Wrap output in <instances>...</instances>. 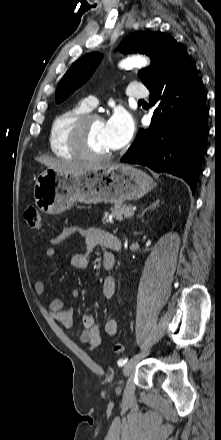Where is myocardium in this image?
<instances>
[{
    "label": "myocardium",
    "mask_w": 221,
    "mask_h": 440,
    "mask_svg": "<svg viewBox=\"0 0 221 440\" xmlns=\"http://www.w3.org/2000/svg\"><path fill=\"white\" fill-rule=\"evenodd\" d=\"M95 120H102L104 118L98 113H85L78 117L70 128V143L73 150L77 153L80 158L93 160V161H101L110 158L113 155L112 151L106 153H95L93 152L87 141V131L91 122Z\"/></svg>",
    "instance_id": "1"
}]
</instances>
